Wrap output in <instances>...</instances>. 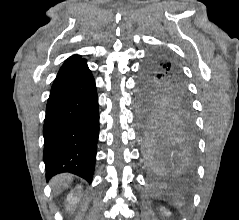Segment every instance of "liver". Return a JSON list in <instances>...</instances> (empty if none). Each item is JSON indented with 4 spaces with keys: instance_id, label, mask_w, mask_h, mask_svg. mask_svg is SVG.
I'll return each instance as SVG.
<instances>
[{
    "instance_id": "1",
    "label": "liver",
    "mask_w": 239,
    "mask_h": 220,
    "mask_svg": "<svg viewBox=\"0 0 239 220\" xmlns=\"http://www.w3.org/2000/svg\"><path fill=\"white\" fill-rule=\"evenodd\" d=\"M71 181L72 175L69 174L55 176L51 181L52 187L54 189V194L59 195L63 191V189H65L69 185Z\"/></svg>"
}]
</instances>
